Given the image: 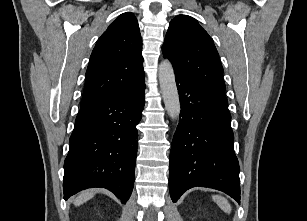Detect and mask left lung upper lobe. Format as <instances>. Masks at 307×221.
I'll list each match as a JSON object with an SVG mask.
<instances>
[{"instance_id":"left-lung-upper-lobe-1","label":"left lung upper lobe","mask_w":307,"mask_h":221,"mask_svg":"<svg viewBox=\"0 0 307 221\" xmlns=\"http://www.w3.org/2000/svg\"><path fill=\"white\" fill-rule=\"evenodd\" d=\"M162 52L172 63L174 71L199 89L228 103L218 52L211 37L196 19L188 15L172 19Z\"/></svg>"}]
</instances>
